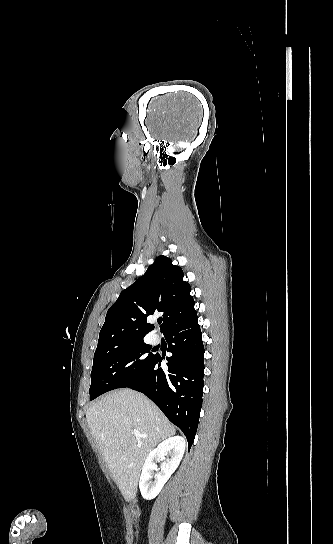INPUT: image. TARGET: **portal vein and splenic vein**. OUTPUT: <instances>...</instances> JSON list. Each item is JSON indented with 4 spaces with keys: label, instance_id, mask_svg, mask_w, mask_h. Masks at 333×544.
Instances as JSON below:
<instances>
[{
    "label": "portal vein and splenic vein",
    "instance_id": "1",
    "mask_svg": "<svg viewBox=\"0 0 333 544\" xmlns=\"http://www.w3.org/2000/svg\"><path fill=\"white\" fill-rule=\"evenodd\" d=\"M132 433H133V435H134L135 437H143V438H146V437H147V435L141 434V433H140L138 430H136V429L133 430Z\"/></svg>",
    "mask_w": 333,
    "mask_h": 544
}]
</instances>
